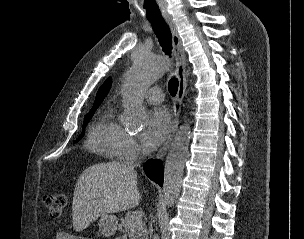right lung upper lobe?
Wrapping results in <instances>:
<instances>
[{"mask_svg": "<svg viewBox=\"0 0 304 239\" xmlns=\"http://www.w3.org/2000/svg\"><path fill=\"white\" fill-rule=\"evenodd\" d=\"M111 77H109L103 84L102 86L99 88L97 95H96V99L95 102L93 104V107H99V105L101 104V102L103 101V99L105 98V96L107 95L108 91L110 90L111 87Z\"/></svg>", "mask_w": 304, "mask_h": 239, "instance_id": "cb5924a9", "label": "right lung upper lobe"}]
</instances>
